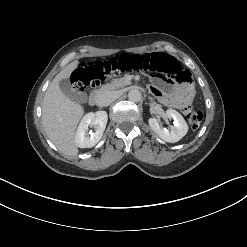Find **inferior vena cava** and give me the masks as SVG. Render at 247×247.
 Returning a JSON list of instances; mask_svg holds the SVG:
<instances>
[{
  "label": "inferior vena cava",
  "mask_w": 247,
  "mask_h": 247,
  "mask_svg": "<svg viewBox=\"0 0 247 247\" xmlns=\"http://www.w3.org/2000/svg\"><path fill=\"white\" fill-rule=\"evenodd\" d=\"M118 98V94L115 91H105L98 97V104L100 106H109Z\"/></svg>",
  "instance_id": "602c4592"
}]
</instances>
